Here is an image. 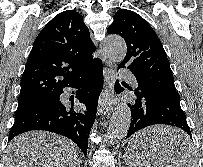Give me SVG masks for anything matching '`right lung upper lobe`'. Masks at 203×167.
I'll return each instance as SVG.
<instances>
[{
    "label": "right lung upper lobe",
    "instance_id": "cb5924a9",
    "mask_svg": "<svg viewBox=\"0 0 203 167\" xmlns=\"http://www.w3.org/2000/svg\"><path fill=\"white\" fill-rule=\"evenodd\" d=\"M95 46L75 10L56 15L34 41L21 78L18 106L54 97L75 76L90 68Z\"/></svg>",
    "mask_w": 203,
    "mask_h": 167
}]
</instances>
